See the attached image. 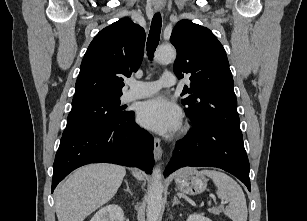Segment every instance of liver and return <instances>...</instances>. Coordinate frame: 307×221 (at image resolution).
<instances>
[{"mask_svg":"<svg viewBox=\"0 0 307 221\" xmlns=\"http://www.w3.org/2000/svg\"><path fill=\"white\" fill-rule=\"evenodd\" d=\"M143 179V174L133 171ZM126 170L114 164H90L73 172L55 190L58 221H83L96 209L107 203L117 192Z\"/></svg>","mask_w":307,"mask_h":221,"instance_id":"obj_1","label":"liver"}]
</instances>
